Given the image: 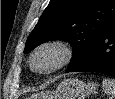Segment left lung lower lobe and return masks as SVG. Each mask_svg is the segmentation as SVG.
Masks as SVG:
<instances>
[{"instance_id": "obj_1", "label": "left lung lower lobe", "mask_w": 115, "mask_h": 99, "mask_svg": "<svg viewBox=\"0 0 115 99\" xmlns=\"http://www.w3.org/2000/svg\"><path fill=\"white\" fill-rule=\"evenodd\" d=\"M99 72L115 78V23L99 38L88 53L66 72Z\"/></svg>"}]
</instances>
